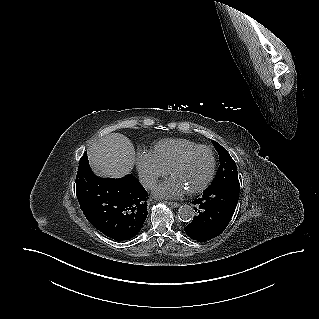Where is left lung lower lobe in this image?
I'll return each instance as SVG.
<instances>
[{
  "mask_svg": "<svg viewBox=\"0 0 319 319\" xmlns=\"http://www.w3.org/2000/svg\"><path fill=\"white\" fill-rule=\"evenodd\" d=\"M239 191V181L212 189L207 188L200 198L192 202L196 206L197 215L185 227L186 234L199 242L220 235L234 214Z\"/></svg>",
  "mask_w": 319,
  "mask_h": 319,
  "instance_id": "1",
  "label": "left lung lower lobe"
}]
</instances>
